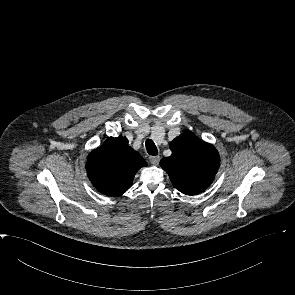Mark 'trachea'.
Instances as JSON below:
<instances>
[{
	"label": "trachea",
	"instance_id": "1",
	"mask_svg": "<svg viewBox=\"0 0 295 295\" xmlns=\"http://www.w3.org/2000/svg\"><path fill=\"white\" fill-rule=\"evenodd\" d=\"M145 145L149 155H153V156L158 155L157 147L151 139H147Z\"/></svg>",
	"mask_w": 295,
	"mask_h": 295
}]
</instances>
